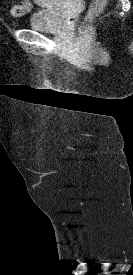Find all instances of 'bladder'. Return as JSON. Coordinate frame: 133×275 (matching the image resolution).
<instances>
[{
    "mask_svg": "<svg viewBox=\"0 0 133 275\" xmlns=\"http://www.w3.org/2000/svg\"><path fill=\"white\" fill-rule=\"evenodd\" d=\"M52 5L32 12L27 21L29 29L43 32H58L64 21L62 11L63 0H50Z\"/></svg>",
    "mask_w": 133,
    "mask_h": 275,
    "instance_id": "1",
    "label": "bladder"
}]
</instances>
